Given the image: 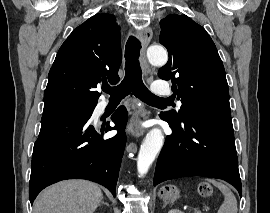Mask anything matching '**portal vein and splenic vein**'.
<instances>
[{
  "label": "portal vein and splenic vein",
  "instance_id": "portal-vein-and-splenic-vein-1",
  "mask_svg": "<svg viewBox=\"0 0 270 213\" xmlns=\"http://www.w3.org/2000/svg\"><path fill=\"white\" fill-rule=\"evenodd\" d=\"M195 213H201L198 209H194Z\"/></svg>",
  "mask_w": 270,
  "mask_h": 213
}]
</instances>
